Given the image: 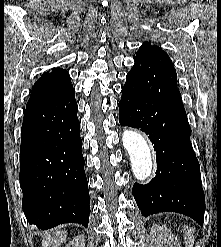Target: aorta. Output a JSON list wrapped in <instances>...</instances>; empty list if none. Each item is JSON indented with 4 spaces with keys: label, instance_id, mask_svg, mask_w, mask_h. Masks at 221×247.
<instances>
[{
    "label": "aorta",
    "instance_id": "762f6f07",
    "mask_svg": "<svg viewBox=\"0 0 221 247\" xmlns=\"http://www.w3.org/2000/svg\"><path fill=\"white\" fill-rule=\"evenodd\" d=\"M122 142L130 156L132 171L136 179L139 181L147 179L152 172V156L144 136L133 130H125Z\"/></svg>",
    "mask_w": 221,
    "mask_h": 247
}]
</instances>
